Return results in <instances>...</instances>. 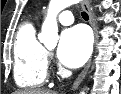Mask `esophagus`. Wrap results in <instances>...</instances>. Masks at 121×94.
Returning a JSON list of instances; mask_svg holds the SVG:
<instances>
[{"label":"esophagus","instance_id":"obj_1","mask_svg":"<svg viewBox=\"0 0 121 94\" xmlns=\"http://www.w3.org/2000/svg\"><path fill=\"white\" fill-rule=\"evenodd\" d=\"M82 7L85 9V11L87 12V14L89 16V23H90L91 27L93 28L95 44H97L98 30H97V27H96L95 22H94V16H93L92 10H91V8L89 6V3L87 1L82 2ZM91 60H92V58L88 61L85 68L83 69V71L80 73V75L77 77V79L73 83V85H72L73 90L78 88V86L80 85V83L82 82L84 77L86 76V74H87V72H88V70L90 68V65H91Z\"/></svg>","mask_w":121,"mask_h":94}]
</instances>
